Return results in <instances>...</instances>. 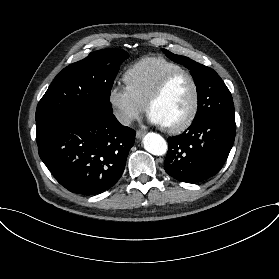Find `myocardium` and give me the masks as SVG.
Segmentation results:
<instances>
[{
  "mask_svg": "<svg viewBox=\"0 0 279 279\" xmlns=\"http://www.w3.org/2000/svg\"><path fill=\"white\" fill-rule=\"evenodd\" d=\"M187 76L190 81L193 84L194 87V101L193 106L191 108L190 113L188 116L179 124L173 125V126H163L164 130L168 133H180L187 128H189L192 123L194 122L200 108V87L196 80V78L193 76V74L188 70H179L176 72H172L165 76L162 81L159 83V85L153 90V92L150 94L148 101H147V111L150 113L152 105L163 96V94L166 92V90L169 88L171 83L176 80L177 78L181 76Z\"/></svg>",
  "mask_w": 279,
  "mask_h": 279,
  "instance_id": "myocardium-1",
  "label": "myocardium"
}]
</instances>
